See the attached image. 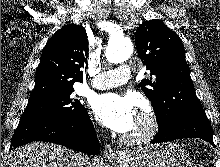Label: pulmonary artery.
I'll list each match as a JSON object with an SVG mask.
<instances>
[{
  "label": "pulmonary artery",
  "mask_w": 220,
  "mask_h": 167,
  "mask_svg": "<svg viewBox=\"0 0 220 167\" xmlns=\"http://www.w3.org/2000/svg\"><path fill=\"white\" fill-rule=\"evenodd\" d=\"M131 77V68L121 65L116 69L102 71L96 74L91 86L96 89H109L125 84Z\"/></svg>",
  "instance_id": "1"
}]
</instances>
